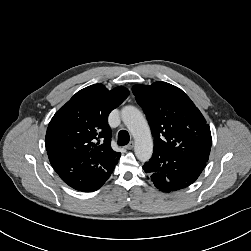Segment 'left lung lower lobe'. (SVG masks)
I'll list each match as a JSON object with an SVG mask.
<instances>
[{"label":"left lung lower lobe","instance_id":"left-lung-lower-lobe-1","mask_svg":"<svg viewBox=\"0 0 251 251\" xmlns=\"http://www.w3.org/2000/svg\"><path fill=\"white\" fill-rule=\"evenodd\" d=\"M206 162L185 155L154 151L143 169L159 190L171 192L192 184L203 171Z\"/></svg>","mask_w":251,"mask_h":251}]
</instances>
